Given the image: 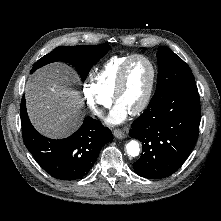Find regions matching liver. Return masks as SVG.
<instances>
[{
	"instance_id": "liver-1",
	"label": "liver",
	"mask_w": 221,
	"mask_h": 221,
	"mask_svg": "<svg viewBox=\"0 0 221 221\" xmlns=\"http://www.w3.org/2000/svg\"><path fill=\"white\" fill-rule=\"evenodd\" d=\"M75 71L63 63L37 70L26 83V105L33 126L44 136L61 139L75 132L83 121V101L73 89Z\"/></svg>"
}]
</instances>
